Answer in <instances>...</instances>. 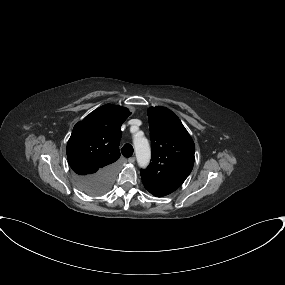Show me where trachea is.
<instances>
[{
    "label": "trachea",
    "instance_id": "trachea-1",
    "mask_svg": "<svg viewBox=\"0 0 285 285\" xmlns=\"http://www.w3.org/2000/svg\"><path fill=\"white\" fill-rule=\"evenodd\" d=\"M121 152L123 154V156L125 157H131L133 154V147L130 144H125L122 148H121Z\"/></svg>",
    "mask_w": 285,
    "mask_h": 285
}]
</instances>
